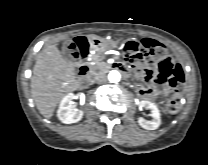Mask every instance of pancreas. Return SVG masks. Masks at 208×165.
I'll return each mask as SVG.
<instances>
[{"label": "pancreas", "instance_id": "pancreas-1", "mask_svg": "<svg viewBox=\"0 0 208 165\" xmlns=\"http://www.w3.org/2000/svg\"><path fill=\"white\" fill-rule=\"evenodd\" d=\"M95 63L91 65L90 68V74L97 75L98 73L107 70V65L101 61V58L99 56H95Z\"/></svg>", "mask_w": 208, "mask_h": 165}]
</instances>
